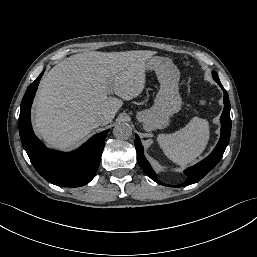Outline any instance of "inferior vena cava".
I'll list each match as a JSON object with an SVG mask.
<instances>
[{
    "label": "inferior vena cava",
    "instance_id": "obj_1",
    "mask_svg": "<svg viewBox=\"0 0 257 257\" xmlns=\"http://www.w3.org/2000/svg\"><path fill=\"white\" fill-rule=\"evenodd\" d=\"M110 119H111V116L109 114L99 115L96 118V122L99 125H104V124H107L110 121Z\"/></svg>",
    "mask_w": 257,
    "mask_h": 257
}]
</instances>
